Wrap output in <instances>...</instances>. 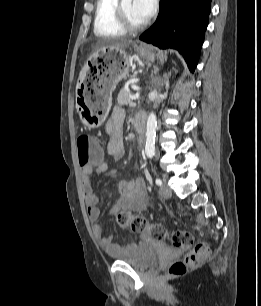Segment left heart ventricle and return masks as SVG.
Instances as JSON below:
<instances>
[{
	"mask_svg": "<svg viewBox=\"0 0 261 306\" xmlns=\"http://www.w3.org/2000/svg\"><path fill=\"white\" fill-rule=\"evenodd\" d=\"M122 6L131 22L135 24H140L144 22V20L141 19V17L136 13L133 0H123Z\"/></svg>",
	"mask_w": 261,
	"mask_h": 306,
	"instance_id": "b2bd125f",
	"label": "left heart ventricle"
}]
</instances>
